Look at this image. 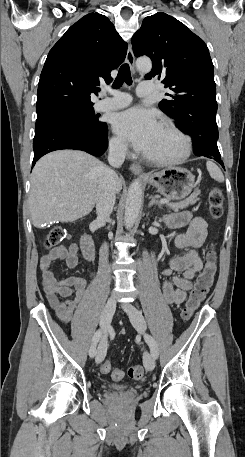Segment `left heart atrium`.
Segmentation results:
<instances>
[{"label":"left heart atrium","mask_w":245,"mask_h":457,"mask_svg":"<svg viewBox=\"0 0 245 457\" xmlns=\"http://www.w3.org/2000/svg\"><path fill=\"white\" fill-rule=\"evenodd\" d=\"M160 128L154 113L141 107L119 113L114 121L115 132L139 151H144L153 143Z\"/></svg>","instance_id":"obj_1"}]
</instances>
